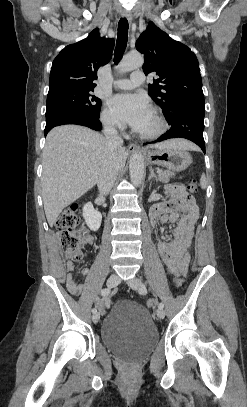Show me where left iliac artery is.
I'll return each instance as SVG.
<instances>
[{
  "mask_svg": "<svg viewBox=\"0 0 247 407\" xmlns=\"http://www.w3.org/2000/svg\"><path fill=\"white\" fill-rule=\"evenodd\" d=\"M139 292H140L141 294H147V289H146V286H145L144 284H142V285L140 286ZM158 308H159V309H163V308H164V304H163V303H159Z\"/></svg>",
  "mask_w": 247,
  "mask_h": 407,
  "instance_id": "1",
  "label": "left iliac artery"
}]
</instances>
